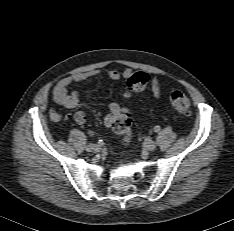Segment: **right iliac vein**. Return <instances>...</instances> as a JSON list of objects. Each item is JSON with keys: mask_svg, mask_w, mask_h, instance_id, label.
<instances>
[{"mask_svg": "<svg viewBox=\"0 0 234 231\" xmlns=\"http://www.w3.org/2000/svg\"><path fill=\"white\" fill-rule=\"evenodd\" d=\"M102 150V147L100 145H94L93 147H89L87 146L86 147V151L87 152H95V153H98Z\"/></svg>", "mask_w": 234, "mask_h": 231, "instance_id": "63e3f726", "label": "right iliac vein"}]
</instances>
